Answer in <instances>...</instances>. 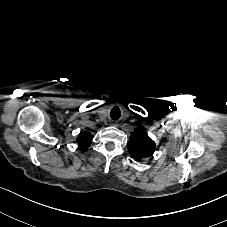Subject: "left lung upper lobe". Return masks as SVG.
<instances>
[{"mask_svg": "<svg viewBox=\"0 0 227 227\" xmlns=\"http://www.w3.org/2000/svg\"><path fill=\"white\" fill-rule=\"evenodd\" d=\"M127 148L132 158L141 161L153 155L155 143L145 129L139 127L131 134Z\"/></svg>", "mask_w": 227, "mask_h": 227, "instance_id": "1", "label": "left lung upper lobe"}]
</instances>
